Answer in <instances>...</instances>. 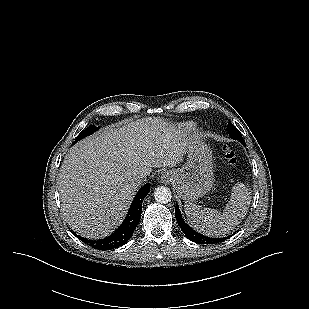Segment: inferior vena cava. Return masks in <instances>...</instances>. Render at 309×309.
Segmentation results:
<instances>
[{
  "mask_svg": "<svg viewBox=\"0 0 309 309\" xmlns=\"http://www.w3.org/2000/svg\"><path fill=\"white\" fill-rule=\"evenodd\" d=\"M132 180L136 185L140 186L146 180V174L145 173L136 174L133 176Z\"/></svg>",
  "mask_w": 309,
  "mask_h": 309,
  "instance_id": "602c4592",
  "label": "inferior vena cava"
}]
</instances>
